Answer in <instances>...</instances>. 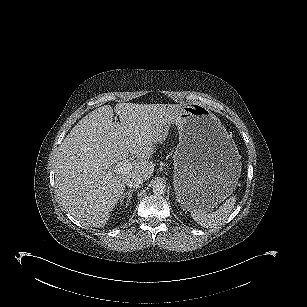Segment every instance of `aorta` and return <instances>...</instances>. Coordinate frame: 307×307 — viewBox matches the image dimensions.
Wrapping results in <instances>:
<instances>
[{
	"mask_svg": "<svg viewBox=\"0 0 307 307\" xmlns=\"http://www.w3.org/2000/svg\"><path fill=\"white\" fill-rule=\"evenodd\" d=\"M152 191L155 195H164L166 192V186L161 181H156L152 185Z\"/></svg>",
	"mask_w": 307,
	"mask_h": 307,
	"instance_id": "762f6f07",
	"label": "aorta"
}]
</instances>
